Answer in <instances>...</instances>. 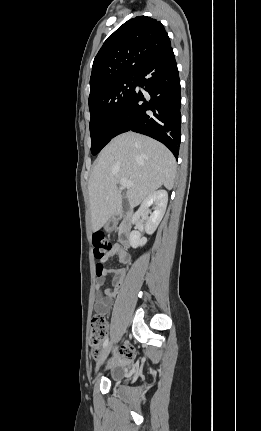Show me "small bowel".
<instances>
[{"mask_svg":"<svg viewBox=\"0 0 261 431\" xmlns=\"http://www.w3.org/2000/svg\"><path fill=\"white\" fill-rule=\"evenodd\" d=\"M116 255L118 261L121 264L128 265L131 262L130 255L119 245L113 246L110 256ZM125 269L116 268H104L101 276H97L95 287H96V300L95 310L101 314L109 313L114 298L116 297L118 290L121 286L122 280L125 276ZM111 275L113 281V287L102 290V286L105 282V277Z\"/></svg>","mask_w":261,"mask_h":431,"instance_id":"obj_1","label":"small bowel"}]
</instances>
